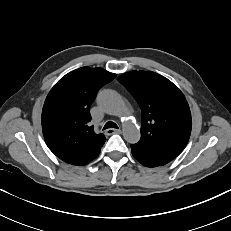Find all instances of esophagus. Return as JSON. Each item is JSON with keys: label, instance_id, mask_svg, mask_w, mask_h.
<instances>
[{"label": "esophagus", "instance_id": "1", "mask_svg": "<svg viewBox=\"0 0 231 231\" xmlns=\"http://www.w3.org/2000/svg\"><path fill=\"white\" fill-rule=\"evenodd\" d=\"M105 133L108 135L114 134V133H121V130L120 129H107Z\"/></svg>", "mask_w": 231, "mask_h": 231}]
</instances>
